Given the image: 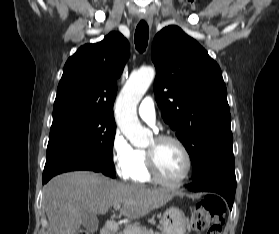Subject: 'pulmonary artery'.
I'll use <instances>...</instances> for the list:
<instances>
[{
	"instance_id": "e3ab8cb5",
	"label": "pulmonary artery",
	"mask_w": 279,
	"mask_h": 234,
	"mask_svg": "<svg viewBox=\"0 0 279 234\" xmlns=\"http://www.w3.org/2000/svg\"><path fill=\"white\" fill-rule=\"evenodd\" d=\"M138 114L142 120L150 125H154L156 120V112L154 99L151 96H146L138 108Z\"/></svg>"
}]
</instances>
